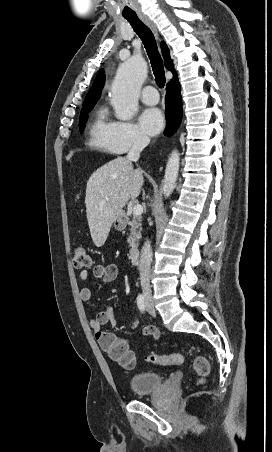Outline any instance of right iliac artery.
Listing matches in <instances>:
<instances>
[{"label": "right iliac artery", "mask_w": 272, "mask_h": 452, "mask_svg": "<svg viewBox=\"0 0 272 452\" xmlns=\"http://www.w3.org/2000/svg\"><path fill=\"white\" fill-rule=\"evenodd\" d=\"M137 305L140 311L143 313L145 311V299L143 296L137 297Z\"/></svg>", "instance_id": "right-iliac-artery-1"}]
</instances>
